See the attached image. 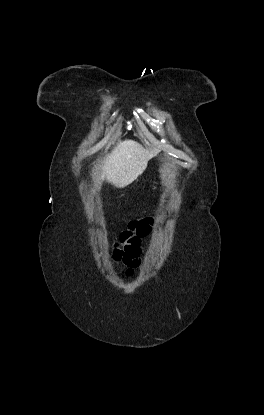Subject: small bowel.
Wrapping results in <instances>:
<instances>
[{
	"instance_id": "obj_1",
	"label": "small bowel",
	"mask_w": 264,
	"mask_h": 415,
	"mask_svg": "<svg viewBox=\"0 0 264 415\" xmlns=\"http://www.w3.org/2000/svg\"><path fill=\"white\" fill-rule=\"evenodd\" d=\"M139 253L136 251L133 253V256L128 264L129 267H134L139 262Z\"/></svg>"
}]
</instances>
